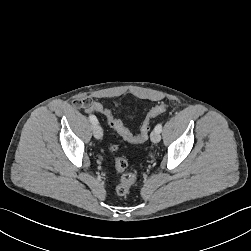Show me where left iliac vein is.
I'll list each match as a JSON object with an SVG mask.
<instances>
[{"label": "left iliac vein", "mask_w": 251, "mask_h": 251, "mask_svg": "<svg viewBox=\"0 0 251 251\" xmlns=\"http://www.w3.org/2000/svg\"><path fill=\"white\" fill-rule=\"evenodd\" d=\"M161 140V135L158 131L154 130L152 133H151V141L153 143H158L159 141Z\"/></svg>", "instance_id": "1"}]
</instances>
